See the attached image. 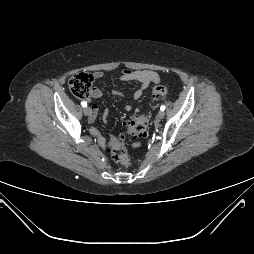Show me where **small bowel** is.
I'll return each mask as SVG.
<instances>
[{"mask_svg": "<svg viewBox=\"0 0 254 254\" xmlns=\"http://www.w3.org/2000/svg\"><path fill=\"white\" fill-rule=\"evenodd\" d=\"M103 76V72L97 71L94 73V78L99 79ZM121 81H137L140 83V87L133 93L134 100H139L144 90L151 84H158L160 82V76L157 72L149 69L134 70V69H124L120 75ZM103 92L100 88L94 87L91 90V97L98 99L102 96ZM112 94L118 97H124V94L118 90H112ZM91 114L88 121L90 123L94 122L96 115L98 113V106L93 104L91 105ZM132 106L130 104L125 105V110L130 111ZM107 111L104 112V120L107 119ZM91 134L97 138L99 145L102 148H106L107 141L104 136H102L99 131L92 128L90 130Z\"/></svg>", "mask_w": 254, "mask_h": 254, "instance_id": "c3829d8e", "label": "small bowel"}]
</instances>
